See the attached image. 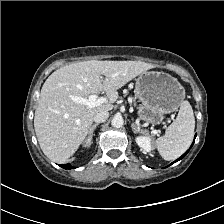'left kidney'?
Segmentation results:
<instances>
[{
    "label": "left kidney",
    "mask_w": 224,
    "mask_h": 224,
    "mask_svg": "<svg viewBox=\"0 0 224 224\" xmlns=\"http://www.w3.org/2000/svg\"><path fill=\"white\" fill-rule=\"evenodd\" d=\"M135 141L137 145L143 149L144 152H151L153 147H152V139L150 136L145 135V136H137L135 138Z\"/></svg>",
    "instance_id": "obj_1"
}]
</instances>
